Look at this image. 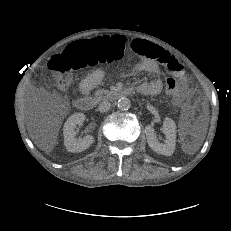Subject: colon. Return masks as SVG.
<instances>
[{
    "label": "colon",
    "mask_w": 231,
    "mask_h": 231,
    "mask_svg": "<svg viewBox=\"0 0 231 231\" xmlns=\"http://www.w3.org/2000/svg\"><path fill=\"white\" fill-rule=\"evenodd\" d=\"M128 55L129 45L124 37L107 36L69 45L62 54L50 60L49 67L55 86L63 91L71 84L72 73L75 70L86 65L120 61ZM165 58H162L161 62H164ZM165 86L170 94H176L178 91V82L174 77L167 78Z\"/></svg>",
    "instance_id": "5ec220e1"
}]
</instances>
